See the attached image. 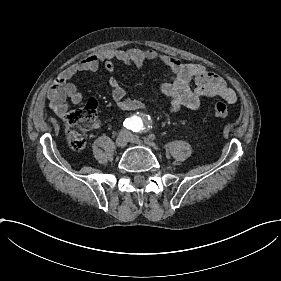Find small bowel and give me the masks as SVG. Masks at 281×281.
I'll list each match as a JSON object with an SVG mask.
<instances>
[{
  "mask_svg": "<svg viewBox=\"0 0 281 281\" xmlns=\"http://www.w3.org/2000/svg\"><path fill=\"white\" fill-rule=\"evenodd\" d=\"M146 62H157L168 67L171 77L161 84L162 92L168 97L172 112L182 108L197 110L204 97H221L228 103L236 101V94L230 85L219 75L211 72L201 64L182 63L170 54L148 49H105L89 56L68 68L48 91V99L54 112L63 119L70 113L67 101L77 105L83 101L82 92L70 80L81 73H91L99 66L113 69L112 63H124L141 67ZM194 81V87L189 85ZM111 96L117 106L125 112L140 111L143 105L134 98L127 97L116 78H110ZM93 129L100 127L98 120L91 122Z\"/></svg>",
  "mask_w": 281,
  "mask_h": 281,
  "instance_id": "small-bowel-1",
  "label": "small bowel"
}]
</instances>
